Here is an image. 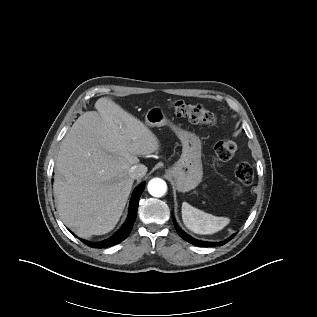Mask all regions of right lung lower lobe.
<instances>
[{"label":"right lung lower lobe","mask_w":317,"mask_h":317,"mask_svg":"<svg viewBox=\"0 0 317 317\" xmlns=\"http://www.w3.org/2000/svg\"><path fill=\"white\" fill-rule=\"evenodd\" d=\"M145 182L141 183L133 192L131 202H130V208H129V216L125 224L122 226V228L117 231L112 237L98 242V243H92L88 242L86 240L80 239L84 244L92 247V248H107L111 247L113 245H116L126 239L128 235L130 234L134 221L136 219L137 215V209H138V202L140 199V196L144 190ZM71 232V231H70ZM73 234V233H72Z\"/></svg>","instance_id":"obj_1"}]
</instances>
